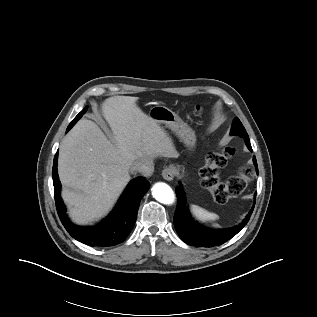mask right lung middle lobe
<instances>
[{
  "mask_svg": "<svg viewBox=\"0 0 317 317\" xmlns=\"http://www.w3.org/2000/svg\"><path fill=\"white\" fill-rule=\"evenodd\" d=\"M87 111V108H84L75 118L74 120L70 123L68 126L67 130H69L80 118L81 116Z\"/></svg>",
  "mask_w": 317,
  "mask_h": 317,
  "instance_id": "dd1d6c3e",
  "label": "right lung middle lobe"
}]
</instances>
